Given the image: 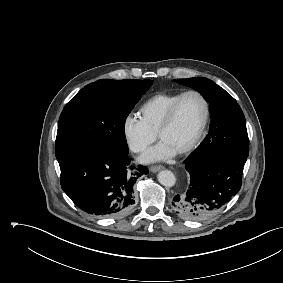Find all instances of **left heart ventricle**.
Returning a JSON list of instances; mask_svg holds the SVG:
<instances>
[{
    "label": "left heart ventricle",
    "mask_w": 283,
    "mask_h": 283,
    "mask_svg": "<svg viewBox=\"0 0 283 283\" xmlns=\"http://www.w3.org/2000/svg\"><path fill=\"white\" fill-rule=\"evenodd\" d=\"M204 106L195 95L187 96L180 104L172 126L163 133L161 141L177 152L188 146L196 136L203 120Z\"/></svg>",
    "instance_id": "b2bd125f"
}]
</instances>
